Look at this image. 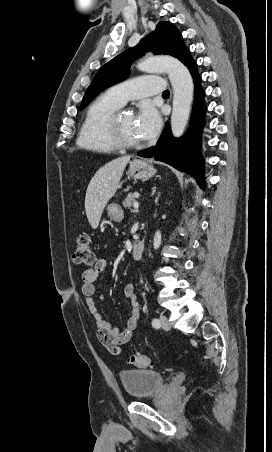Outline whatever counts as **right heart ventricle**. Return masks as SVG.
<instances>
[{
	"instance_id": "right-heart-ventricle-1",
	"label": "right heart ventricle",
	"mask_w": 272,
	"mask_h": 452,
	"mask_svg": "<svg viewBox=\"0 0 272 452\" xmlns=\"http://www.w3.org/2000/svg\"><path fill=\"white\" fill-rule=\"evenodd\" d=\"M122 106L109 92L99 95L86 111L77 146L97 153H111L118 149L107 136L106 124L111 114Z\"/></svg>"
}]
</instances>
